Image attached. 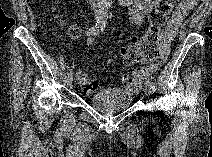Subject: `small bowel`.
<instances>
[{
  "instance_id": "1",
  "label": "small bowel",
  "mask_w": 212,
  "mask_h": 157,
  "mask_svg": "<svg viewBox=\"0 0 212 157\" xmlns=\"http://www.w3.org/2000/svg\"><path fill=\"white\" fill-rule=\"evenodd\" d=\"M122 5L129 9L130 19L136 24L140 25L144 22L146 16L154 6L153 0H123ZM195 0H181L174 13L172 14L164 32L169 37H164L161 43V51L155 63L149 64L145 67H140L136 70L134 78L123 77V86L129 91H138L142 82L149 76V74L158 67H160L169 55L170 42L175 37L177 30L187 14L195 8Z\"/></svg>"
}]
</instances>
